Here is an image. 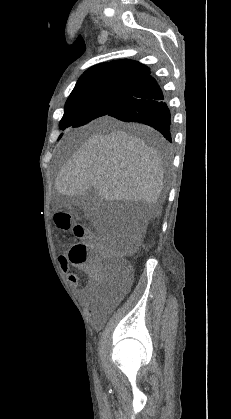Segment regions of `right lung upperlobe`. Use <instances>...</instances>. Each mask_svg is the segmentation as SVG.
Segmentation results:
<instances>
[{
    "instance_id": "1",
    "label": "right lung upper lobe",
    "mask_w": 231,
    "mask_h": 419,
    "mask_svg": "<svg viewBox=\"0 0 231 419\" xmlns=\"http://www.w3.org/2000/svg\"><path fill=\"white\" fill-rule=\"evenodd\" d=\"M150 74V69L133 60L123 59L101 63L85 71L77 81L72 92L104 85L135 86Z\"/></svg>"
}]
</instances>
